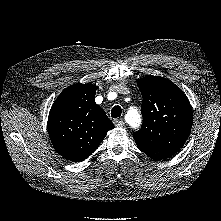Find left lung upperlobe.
<instances>
[{
	"label": "left lung upper lobe",
	"mask_w": 221,
	"mask_h": 221,
	"mask_svg": "<svg viewBox=\"0 0 221 221\" xmlns=\"http://www.w3.org/2000/svg\"><path fill=\"white\" fill-rule=\"evenodd\" d=\"M143 96V124L133 132L137 147L154 160L167 159L186 142L192 128V109L183 91L170 80L137 79Z\"/></svg>",
	"instance_id": "5c2ea615"
}]
</instances>
